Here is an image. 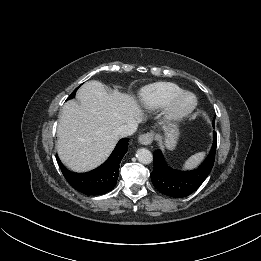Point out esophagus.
<instances>
[{"label":"esophagus","mask_w":261,"mask_h":261,"mask_svg":"<svg viewBox=\"0 0 261 261\" xmlns=\"http://www.w3.org/2000/svg\"><path fill=\"white\" fill-rule=\"evenodd\" d=\"M153 138H154V134L152 132H148V133L140 135L138 140H139V143L142 145H149L152 143Z\"/></svg>","instance_id":"obj_1"}]
</instances>
